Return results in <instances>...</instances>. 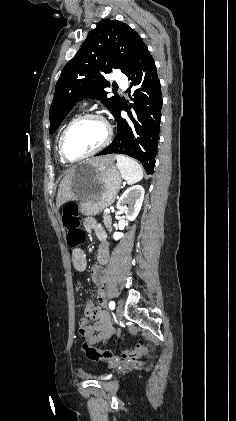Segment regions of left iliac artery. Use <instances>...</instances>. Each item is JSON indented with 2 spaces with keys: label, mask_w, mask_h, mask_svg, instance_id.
Segmentation results:
<instances>
[{
  "label": "left iliac artery",
  "mask_w": 236,
  "mask_h": 421,
  "mask_svg": "<svg viewBox=\"0 0 236 421\" xmlns=\"http://www.w3.org/2000/svg\"><path fill=\"white\" fill-rule=\"evenodd\" d=\"M109 308H110L111 310H114V309H115V302H114V301H111V302L109 303Z\"/></svg>",
  "instance_id": "obj_1"
}]
</instances>
